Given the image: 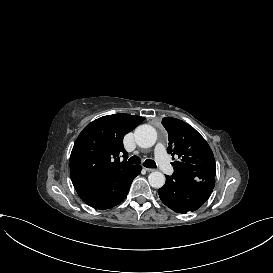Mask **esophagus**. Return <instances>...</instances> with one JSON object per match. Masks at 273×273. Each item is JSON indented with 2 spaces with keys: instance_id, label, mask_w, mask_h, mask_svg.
I'll use <instances>...</instances> for the list:
<instances>
[{
  "instance_id": "1",
  "label": "esophagus",
  "mask_w": 273,
  "mask_h": 273,
  "mask_svg": "<svg viewBox=\"0 0 273 273\" xmlns=\"http://www.w3.org/2000/svg\"><path fill=\"white\" fill-rule=\"evenodd\" d=\"M146 171H148V172H152V171H155V169H151V168H144Z\"/></svg>"
}]
</instances>
